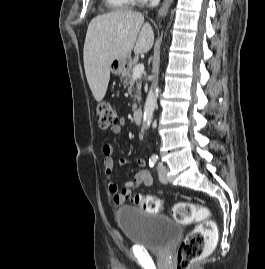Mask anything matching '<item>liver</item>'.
I'll return each mask as SVG.
<instances>
[{
  "instance_id": "1",
  "label": "liver",
  "mask_w": 265,
  "mask_h": 269,
  "mask_svg": "<svg viewBox=\"0 0 265 269\" xmlns=\"http://www.w3.org/2000/svg\"><path fill=\"white\" fill-rule=\"evenodd\" d=\"M151 25L141 13L118 10L98 15L89 23L83 51L86 78L97 102L104 98L115 59L147 53L153 46Z\"/></svg>"
}]
</instances>
